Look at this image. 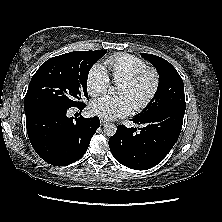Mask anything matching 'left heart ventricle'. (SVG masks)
Here are the masks:
<instances>
[{"mask_svg": "<svg viewBox=\"0 0 222 222\" xmlns=\"http://www.w3.org/2000/svg\"><path fill=\"white\" fill-rule=\"evenodd\" d=\"M152 84V76L146 74L133 86L120 84L117 92L118 94L125 95L133 106L145 99L152 88Z\"/></svg>", "mask_w": 222, "mask_h": 222, "instance_id": "obj_1", "label": "left heart ventricle"}]
</instances>
